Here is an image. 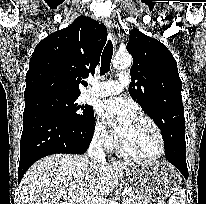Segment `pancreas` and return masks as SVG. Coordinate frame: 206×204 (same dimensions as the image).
<instances>
[{"label": "pancreas", "mask_w": 206, "mask_h": 204, "mask_svg": "<svg viewBox=\"0 0 206 204\" xmlns=\"http://www.w3.org/2000/svg\"><path fill=\"white\" fill-rule=\"evenodd\" d=\"M126 188L129 189L130 192L128 193L127 196H124L123 204H140L139 203L140 199L137 195L134 194L132 188L130 186H127Z\"/></svg>", "instance_id": "pancreas-1"}]
</instances>
